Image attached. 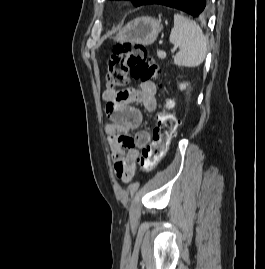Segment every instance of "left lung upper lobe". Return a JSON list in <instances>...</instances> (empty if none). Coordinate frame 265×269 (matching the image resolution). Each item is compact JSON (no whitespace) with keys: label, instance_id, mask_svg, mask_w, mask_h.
Wrapping results in <instances>:
<instances>
[{"label":"left lung upper lobe","instance_id":"1","mask_svg":"<svg viewBox=\"0 0 265 269\" xmlns=\"http://www.w3.org/2000/svg\"><path fill=\"white\" fill-rule=\"evenodd\" d=\"M137 6H140L144 3L145 0H132Z\"/></svg>","mask_w":265,"mask_h":269}]
</instances>
